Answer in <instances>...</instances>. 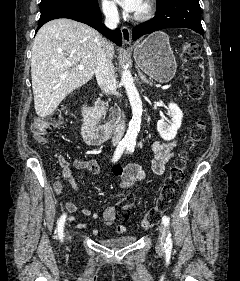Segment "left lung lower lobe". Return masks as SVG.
Listing matches in <instances>:
<instances>
[{
	"label": "left lung lower lobe",
	"mask_w": 240,
	"mask_h": 281,
	"mask_svg": "<svg viewBox=\"0 0 240 281\" xmlns=\"http://www.w3.org/2000/svg\"><path fill=\"white\" fill-rule=\"evenodd\" d=\"M171 27L189 28L204 36L199 0H162L154 18L133 28L132 38L135 41L142 35Z\"/></svg>",
	"instance_id": "1"
}]
</instances>
